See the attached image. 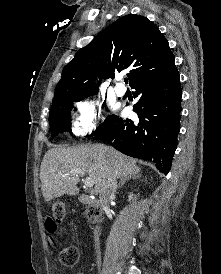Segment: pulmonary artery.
Wrapping results in <instances>:
<instances>
[{
    "mask_svg": "<svg viewBox=\"0 0 221 274\" xmlns=\"http://www.w3.org/2000/svg\"><path fill=\"white\" fill-rule=\"evenodd\" d=\"M115 92L118 96H123L126 93V87L119 82L115 86Z\"/></svg>",
    "mask_w": 221,
    "mask_h": 274,
    "instance_id": "obj_1",
    "label": "pulmonary artery"
}]
</instances>
